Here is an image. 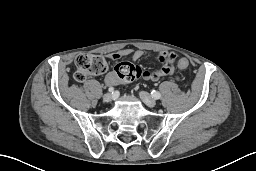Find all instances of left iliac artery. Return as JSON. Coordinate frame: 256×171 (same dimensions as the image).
<instances>
[{"label":"left iliac artery","instance_id":"left-iliac-artery-1","mask_svg":"<svg viewBox=\"0 0 256 171\" xmlns=\"http://www.w3.org/2000/svg\"><path fill=\"white\" fill-rule=\"evenodd\" d=\"M151 95H152V97H153L154 99H160V98H161V94H160L159 92L155 91V90H153V91L151 92Z\"/></svg>","mask_w":256,"mask_h":171}]
</instances>
